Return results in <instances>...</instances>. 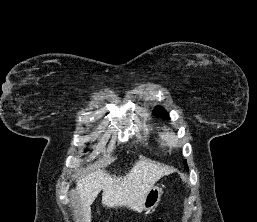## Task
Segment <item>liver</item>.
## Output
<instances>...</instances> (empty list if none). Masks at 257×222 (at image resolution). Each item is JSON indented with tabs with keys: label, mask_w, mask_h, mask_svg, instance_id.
<instances>
[{
	"label": "liver",
	"mask_w": 257,
	"mask_h": 222,
	"mask_svg": "<svg viewBox=\"0 0 257 222\" xmlns=\"http://www.w3.org/2000/svg\"><path fill=\"white\" fill-rule=\"evenodd\" d=\"M174 169L152 161L135 162L125 176L110 175L105 170H96L76 181V190L81 201L82 222H91V204L102 193V204L108 208L127 207L138 213L143 211L144 200L149 190L163 176Z\"/></svg>",
	"instance_id": "1"
}]
</instances>
